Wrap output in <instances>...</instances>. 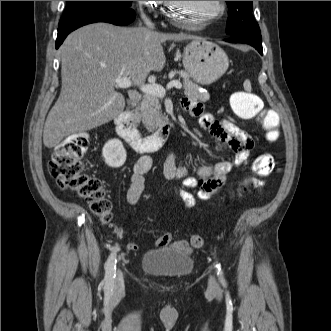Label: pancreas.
<instances>
[{
  "mask_svg": "<svg viewBox=\"0 0 331 331\" xmlns=\"http://www.w3.org/2000/svg\"><path fill=\"white\" fill-rule=\"evenodd\" d=\"M181 78H183L184 94L191 99L206 101L209 99L208 93L198 91L199 86L189 79V74L184 71H179ZM165 120V116L161 111V104L159 97L156 95L145 94L142 101L134 110L135 123L142 122L144 126L152 131L161 126Z\"/></svg>",
  "mask_w": 331,
  "mask_h": 331,
  "instance_id": "cf45deb5",
  "label": "pancreas"
}]
</instances>
